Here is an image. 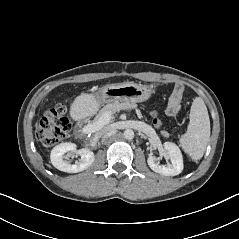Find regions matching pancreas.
Segmentation results:
<instances>
[{
  "instance_id": "obj_1",
  "label": "pancreas",
  "mask_w": 239,
  "mask_h": 239,
  "mask_svg": "<svg viewBox=\"0 0 239 239\" xmlns=\"http://www.w3.org/2000/svg\"><path fill=\"white\" fill-rule=\"evenodd\" d=\"M137 108V105L135 103H125V102H118V101H115L113 103H110V104H107L106 106H104L98 116H97V119L102 115L104 114L105 112H110L111 115L120 111V110H131V109H135ZM161 134L168 138L169 137V133L166 132L165 130H162L161 131Z\"/></svg>"
}]
</instances>
